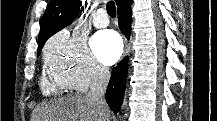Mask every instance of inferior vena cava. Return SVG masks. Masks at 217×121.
I'll use <instances>...</instances> for the list:
<instances>
[{
  "mask_svg": "<svg viewBox=\"0 0 217 121\" xmlns=\"http://www.w3.org/2000/svg\"><path fill=\"white\" fill-rule=\"evenodd\" d=\"M109 70L102 66H95L93 69V78L90 85V91L87 97L93 99L99 105L100 113L102 114L106 106L105 92L109 82Z\"/></svg>",
  "mask_w": 217,
  "mask_h": 121,
  "instance_id": "obj_1",
  "label": "inferior vena cava"
}]
</instances>
